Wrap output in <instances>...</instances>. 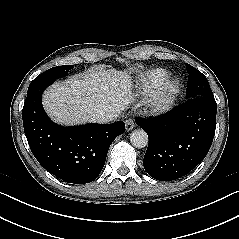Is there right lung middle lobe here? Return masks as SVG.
I'll use <instances>...</instances> for the list:
<instances>
[{"instance_id": "obj_1", "label": "right lung middle lobe", "mask_w": 239, "mask_h": 239, "mask_svg": "<svg viewBox=\"0 0 239 239\" xmlns=\"http://www.w3.org/2000/svg\"><path fill=\"white\" fill-rule=\"evenodd\" d=\"M72 67H73V65H63V66L53 67V68L45 71L44 73H42L38 77H36L30 83L29 88L33 87V86H36V85H40V84L49 85V84L53 83V81H55V79L66 76L67 73L69 72V70Z\"/></svg>"}]
</instances>
